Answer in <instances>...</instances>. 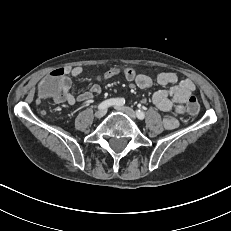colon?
Wrapping results in <instances>:
<instances>
[{
  "instance_id": "1",
  "label": "colon",
  "mask_w": 231,
  "mask_h": 231,
  "mask_svg": "<svg viewBox=\"0 0 231 231\" xmlns=\"http://www.w3.org/2000/svg\"><path fill=\"white\" fill-rule=\"evenodd\" d=\"M118 74H123L127 81H134L137 78V71L134 68H111L105 72L104 76L113 77ZM64 77L62 68L55 69L51 72V75L42 79L38 85L37 94L40 97L52 98L56 100L61 97V90L58 85L61 79ZM201 106L198 98L195 95H190L187 98V105L183 109V114L186 117H195L200 111Z\"/></svg>"
}]
</instances>
